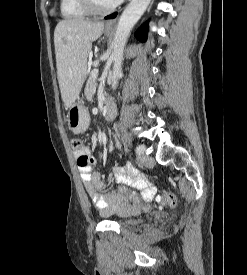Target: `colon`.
Returning a JSON list of instances; mask_svg holds the SVG:
<instances>
[{"mask_svg": "<svg viewBox=\"0 0 247 275\" xmlns=\"http://www.w3.org/2000/svg\"><path fill=\"white\" fill-rule=\"evenodd\" d=\"M71 146L76 153L81 154L80 160L82 162H85L86 157L82 154L85 147H84L82 141L80 139L74 138L71 140ZM117 193L120 196H122L123 198L130 201L131 203L139 204V202H140V198H139L138 194L135 191L131 190L130 187L119 186L117 189ZM156 202L161 205H165L170 208H174L177 205V197H176V195H174L170 192L164 191L156 197Z\"/></svg>", "mask_w": 247, "mask_h": 275, "instance_id": "5ec220e1", "label": "colon"}]
</instances>
